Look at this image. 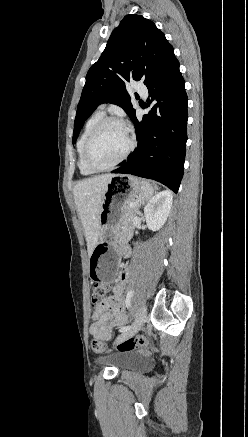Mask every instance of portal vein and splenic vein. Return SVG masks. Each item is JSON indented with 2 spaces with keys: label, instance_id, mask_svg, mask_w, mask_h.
<instances>
[{
  "label": "portal vein and splenic vein",
  "instance_id": "portal-vein-and-splenic-vein-1",
  "mask_svg": "<svg viewBox=\"0 0 248 437\" xmlns=\"http://www.w3.org/2000/svg\"><path fill=\"white\" fill-rule=\"evenodd\" d=\"M134 205H135V203H134V202H131V203H130V206H134Z\"/></svg>",
  "mask_w": 248,
  "mask_h": 437
}]
</instances>
